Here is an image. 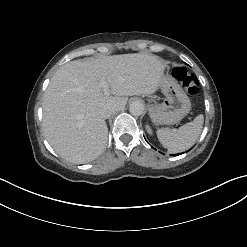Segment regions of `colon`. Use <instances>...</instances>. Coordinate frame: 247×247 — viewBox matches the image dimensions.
<instances>
[{"label":"colon","instance_id":"5ec220e1","mask_svg":"<svg viewBox=\"0 0 247 247\" xmlns=\"http://www.w3.org/2000/svg\"><path fill=\"white\" fill-rule=\"evenodd\" d=\"M172 74L190 96L195 97L198 95L199 81L191 71L182 67H175L172 70Z\"/></svg>","mask_w":247,"mask_h":247}]
</instances>
